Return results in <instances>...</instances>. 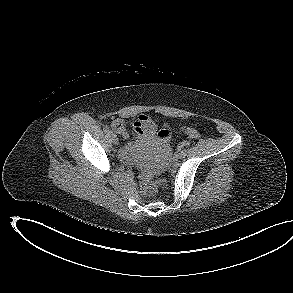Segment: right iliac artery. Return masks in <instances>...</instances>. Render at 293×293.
I'll use <instances>...</instances> for the list:
<instances>
[{"instance_id": "1", "label": "right iliac artery", "mask_w": 293, "mask_h": 293, "mask_svg": "<svg viewBox=\"0 0 293 293\" xmlns=\"http://www.w3.org/2000/svg\"><path fill=\"white\" fill-rule=\"evenodd\" d=\"M104 131H105L106 133H112V131L109 129L108 126H105V127H104Z\"/></svg>"}]
</instances>
